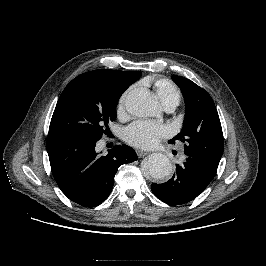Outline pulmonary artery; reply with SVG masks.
I'll return each mask as SVG.
<instances>
[{
	"label": "pulmonary artery",
	"mask_w": 266,
	"mask_h": 266,
	"mask_svg": "<svg viewBox=\"0 0 266 266\" xmlns=\"http://www.w3.org/2000/svg\"><path fill=\"white\" fill-rule=\"evenodd\" d=\"M164 106H165V109H166L168 112L174 110V108L176 107V106L173 105V104L164 105Z\"/></svg>",
	"instance_id": "1"
}]
</instances>
